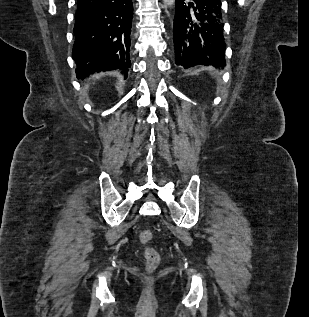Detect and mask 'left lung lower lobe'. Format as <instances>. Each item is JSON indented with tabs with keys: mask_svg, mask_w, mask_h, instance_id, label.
Here are the masks:
<instances>
[{
	"mask_svg": "<svg viewBox=\"0 0 309 317\" xmlns=\"http://www.w3.org/2000/svg\"><path fill=\"white\" fill-rule=\"evenodd\" d=\"M220 0H176L173 40L176 65H226Z\"/></svg>",
	"mask_w": 309,
	"mask_h": 317,
	"instance_id": "1",
	"label": "left lung lower lobe"
}]
</instances>
